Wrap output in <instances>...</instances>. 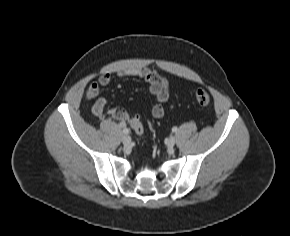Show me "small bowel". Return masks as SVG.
Wrapping results in <instances>:
<instances>
[{"instance_id": "small-bowel-1", "label": "small bowel", "mask_w": 290, "mask_h": 236, "mask_svg": "<svg viewBox=\"0 0 290 236\" xmlns=\"http://www.w3.org/2000/svg\"><path fill=\"white\" fill-rule=\"evenodd\" d=\"M119 75L121 77L134 76L143 79L149 85L150 93L155 98V104L151 109L152 116L157 119L163 117V103L168 100L169 90L167 81L162 75L145 66L122 70L119 72ZM110 84L111 75L109 73H105L101 75L96 82L89 85L86 96L89 99H95L92 106V112L95 116L100 118L110 116L119 121L121 126H125V124L130 120L129 114L122 108H112L109 111H106V99L103 97H98L100 88L107 87Z\"/></svg>"}]
</instances>
